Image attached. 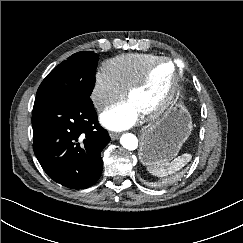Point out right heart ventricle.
Listing matches in <instances>:
<instances>
[{
    "instance_id": "obj_1",
    "label": "right heart ventricle",
    "mask_w": 243,
    "mask_h": 243,
    "mask_svg": "<svg viewBox=\"0 0 243 243\" xmlns=\"http://www.w3.org/2000/svg\"><path fill=\"white\" fill-rule=\"evenodd\" d=\"M156 58L157 55L143 53L121 55L109 59L105 63V70L123 90H126Z\"/></svg>"
}]
</instances>
